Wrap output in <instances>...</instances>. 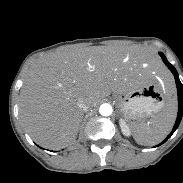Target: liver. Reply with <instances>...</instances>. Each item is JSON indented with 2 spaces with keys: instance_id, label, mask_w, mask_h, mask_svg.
<instances>
[{
  "instance_id": "obj_1",
  "label": "liver",
  "mask_w": 183,
  "mask_h": 183,
  "mask_svg": "<svg viewBox=\"0 0 183 183\" xmlns=\"http://www.w3.org/2000/svg\"><path fill=\"white\" fill-rule=\"evenodd\" d=\"M151 65L170 92L168 73L157 59L135 48L92 46L48 54L29 68L20 91L22 122L32 139L49 149L72 144L83 118L80 99L95 105L111 92L123 94L135 65Z\"/></svg>"
}]
</instances>
